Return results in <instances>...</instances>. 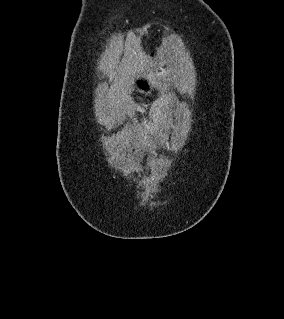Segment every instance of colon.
Returning <instances> with one entry per match:
<instances>
[{"instance_id": "5ec220e1", "label": "colon", "mask_w": 284, "mask_h": 319, "mask_svg": "<svg viewBox=\"0 0 284 319\" xmlns=\"http://www.w3.org/2000/svg\"><path fill=\"white\" fill-rule=\"evenodd\" d=\"M138 84H139V87L143 90H145L148 87V84L145 81H140Z\"/></svg>"}]
</instances>
